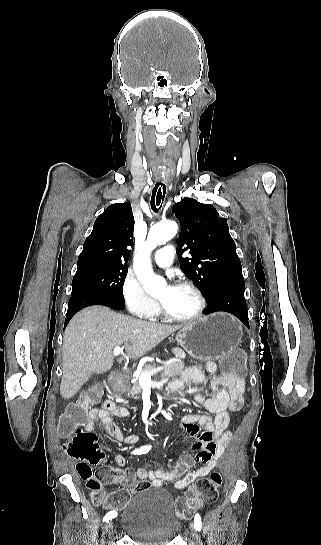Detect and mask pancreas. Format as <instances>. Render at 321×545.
Wrapping results in <instances>:
<instances>
[{
    "label": "pancreas",
    "mask_w": 321,
    "mask_h": 545,
    "mask_svg": "<svg viewBox=\"0 0 321 545\" xmlns=\"http://www.w3.org/2000/svg\"><path fill=\"white\" fill-rule=\"evenodd\" d=\"M165 363H168V361H165ZM155 369H161L162 379H167V377H172V379H175V377H178L180 373H183L184 363L183 361H181V363H169V365H161V367H156V363H151V365H144L143 367V371H155ZM158 373H160V371H158ZM123 375H128V373L124 371ZM141 391L142 387L139 381L132 383L130 395H139Z\"/></svg>",
    "instance_id": "obj_1"
}]
</instances>
